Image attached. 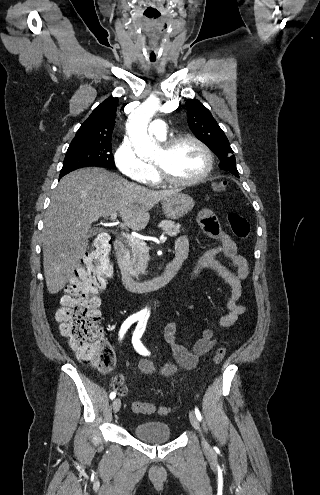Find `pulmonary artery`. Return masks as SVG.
I'll return each instance as SVG.
<instances>
[{
  "mask_svg": "<svg viewBox=\"0 0 320 495\" xmlns=\"http://www.w3.org/2000/svg\"><path fill=\"white\" fill-rule=\"evenodd\" d=\"M148 132L150 135L158 138V139H165L167 135V127L166 124L163 120L161 119H156L154 120L148 128Z\"/></svg>",
  "mask_w": 320,
  "mask_h": 495,
  "instance_id": "e3ab8cb5",
  "label": "pulmonary artery"
}]
</instances>
